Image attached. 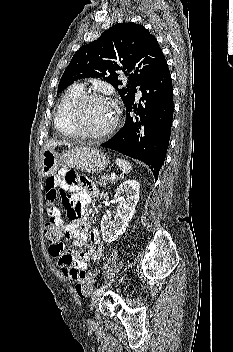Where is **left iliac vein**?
I'll use <instances>...</instances> for the list:
<instances>
[{
	"instance_id": "4c4485c4",
	"label": "left iliac vein",
	"mask_w": 233,
	"mask_h": 352,
	"mask_svg": "<svg viewBox=\"0 0 233 352\" xmlns=\"http://www.w3.org/2000/svg\"><path fill=\"white\" fill-rule=\"evenodd\" d=\"M101 296H102V292L96 294V295L92 298L91 304H90V309H91V310H93V309L96 307V305L98 304V302H99Z\"/></svg>"
}]
</instances>
